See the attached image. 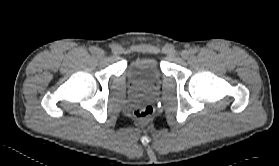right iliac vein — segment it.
<instances>
[{"label":"right iliac vein","instance_id":"right-iliac-vein-1","mask_svg":"<svg viewBox=\"0 0 279 166\" xmlns=\"http://www.w3.org/2000/svg\"><path fill=\"white\" fill-rule=\"evenodd\" d=\"M96 56L101 58L104 56V51L102 49H96V52H95Z\"/></svg>","mask_w":279,"mask_h":166}]
</instances>
